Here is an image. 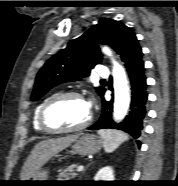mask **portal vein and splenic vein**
I'll return each mask as SVG.
<instances>
[{"mask_svg":"<svg viewBox=\"0 0 178 186\" xmlns=\"http://www.w3.org/2000/svg\"><path fill=\"white\" fill-rule=\"evenodd\" d=\"M84 170V166L83 165H80L78 168H77V171L78 172H81V171H83Z\"/></svg>","mask_w":178,"mask_h":186,"instance_id":"1","label":"portal vein and splenic vein"}]
</instances>
